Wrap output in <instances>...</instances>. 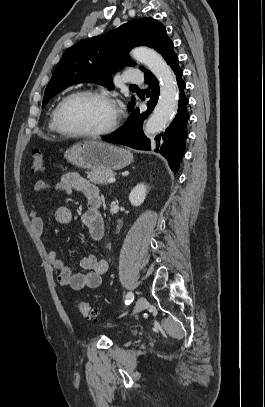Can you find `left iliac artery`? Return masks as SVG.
Returning <instances> with one entry per match:
<instances>
[{
	"label": "left iliac artery",
	"instance_id": "1",
	"mask_svg": "<svg viewBox=\"0 0 265 407\" xmlns=\"http://www.w3.org/2000/svg\"><path fill=\"white\" fill-rule=\"evenodd\" d=\"M134 300V294L133 292H129L126 295V300H125V304L129 305L132 301Z\"/></svg>",
	"mask_w": 265,
	"mask_h": 407
}]
</instances>
